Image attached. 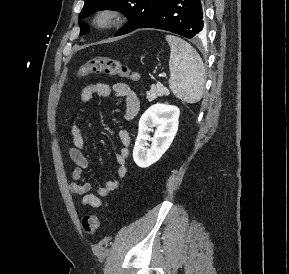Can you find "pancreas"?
<instances>
[{
    "label": "pancreas",
    "mask_w": 289,
    "mask_h": 274,
    "mask_svg": "<svg viewBox=\"0 0 289 274\" xmlns=\"http://www.w3.org/2000/svg\"><path fill=\"white\" fill-rule=\"evenodd\" d=\"M170 93L168 89L161 83L153 84L149 91H147V99L149 101L155 100L157 97L168 96Z\"/></svg>",
    "instance_id": "obj_1"
}]
</instances>
